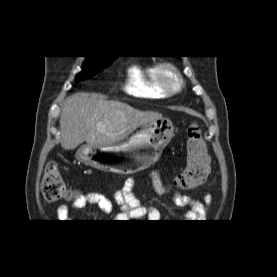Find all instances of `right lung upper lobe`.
Returning <instances> with one entry per match:
<instances>
[{"instance_id": "right-lung-upper-lobe-1", "label": "right lung upper lobe", "mask_w": 277, "mask_h": 277, "mask_svg": "<svg viewBox=\"0 0 277 277\" xmlns=\"http://www.w3.org/2000/svg\"><path fill=\"white\" fill-rule=\"evenodd\" d=\"M118 56H88L87 58H103V59H114Z\"/></svg>"}]
</instances>
